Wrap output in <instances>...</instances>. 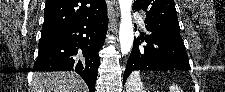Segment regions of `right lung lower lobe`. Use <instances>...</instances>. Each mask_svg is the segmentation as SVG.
<instances>
[{
  "label": "right lung lower lobe",
  "mask_w": 225,
  "mask_h": 92,
  "mask_svg": "<svg viewBox=\"0 0 225 92\" xmlns=\"http://www.w3.org/2000/svg\"><path fill=\"white\" fill-rule=\"evenodd\" d=\"M107 8L98 16L77 21L60 32L41 37L33 71H75L94 92L107 33Z\"/></svg>",
  "instance_id": "98d812e1"
}]
</instances>
